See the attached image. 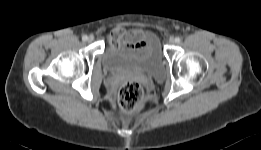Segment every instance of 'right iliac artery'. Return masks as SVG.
Instances as JSON below:
<instances>
[{
	"label": "right iliac artery",
	"instance_id": "1",
	"mask_svg": "<svg viewBox=\"0 0 261 150\" xmlns=\"http://www.w3.org/2000/svg\"><path fill=\"white\" fill-rule=\"evenodd\" d=\"M82 40H83V41H87V40H88L87 35H84V36L82 37Z\"/></svg>",
	"mask_w": 261,
	"mask_h": 150
}]
</instances>
